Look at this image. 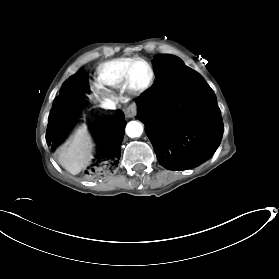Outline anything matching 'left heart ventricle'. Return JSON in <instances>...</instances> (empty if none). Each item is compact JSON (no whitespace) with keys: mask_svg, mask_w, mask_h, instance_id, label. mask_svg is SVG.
<instances>
[{"mask_svg":"<svg viewBox=\"0 0 279 279\" xmlns=\"http://www.w3.org/2000/svg\"><path fill=\"white\" fill-rule=\"evenodd\" d=\"M132 82L141 86L144 85L149 79V69L148 66L142 62L134 64L131 74Z\"/></svg>","mask_w":279,"mask_h":279,"instance_id":"left-heart-ventricle-1","label":"left heart ventricle"}]
</instances>
